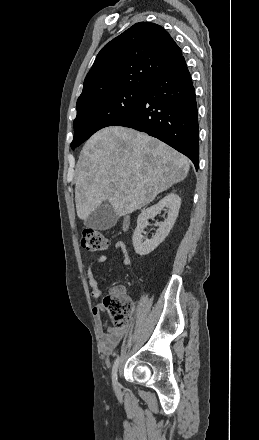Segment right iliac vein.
Wrapping results in <instances>:
<instances>
[{"label":"right iliac vein","mask_w":259,"mask_h":440,"mask_svg":"<svg viewBox=\"0 0 259 440\" xmlns=\"http://www.w3.org/2000/svg\"><path fill=\"white\" fill-rule=\"evenodd\" d=\"M115 388H116V389H118V383H117V381H116V385H115Z\"/></svg>","instance_id":"obj_1"}]
</instances>
